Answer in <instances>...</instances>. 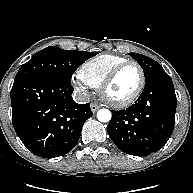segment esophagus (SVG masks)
Masks as SVG:
<instances>
[{"mask_svg": "<svg viewBox=\"0 0 193 193\" xmlns=\"http://www.w3.org/2000/svg\"><path fill=\"white\" fill-rule=\"evenodd\" d=\"M99 108H100L99 105L94 104V103L91 104V111H92L93 113H95Z\"/></svg>", "mask_w": 193, "mask_h": 193, "instance_id": "1", "label": "esophagus"}]
</instances>
